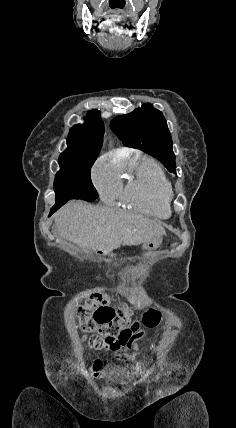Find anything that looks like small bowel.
Returning a JSON list of instances; mask_svg holds the SVG:
<instances>
[{
	"label": "small bowel",
	"mask_w": 236,
	"mask_h": 428,
	"mask_svg": "<svg viewBox=\"0 0 236 428\" xmlns=\"http://www.w3.org/2000/svg\"><path fill=\"white\" fill-rule=\"evenodd\" d=\"M143 337V332L139 331L134 336H132L123 346L117 349V351L122 352L123 358L133 359L138 351V340ZM130 351L127 353L126 351ZM103 363L100 359L94 361L92 371L94 375H97L102 369Z\"/></svg>",
	"instance_id": "small-bowel-1"
}]
</instances>
